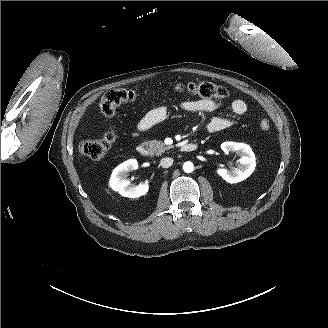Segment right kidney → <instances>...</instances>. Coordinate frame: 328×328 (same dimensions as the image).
<instances>
[{
  "mask_svg": "<svg viewBox=\"0 0 328 328\" xmlns=\"http://www.w3.org/2000/svg\"><path fill=\"white\" fill-rule=\"evenodd\" d=\"M138 169V162L136 159H129L118 165L112 172L109 186L119 192L122 196L129 198H137L145 195L148 192L149 185L140 183L136 186H130V181L125 179V175L129 171Z\"/></svg>",
  "mask_w": 328,
  "mask_h": 328,
  "instance_id": "right-kidney-1",
  "label": "right kidney"
}]
</instances>
